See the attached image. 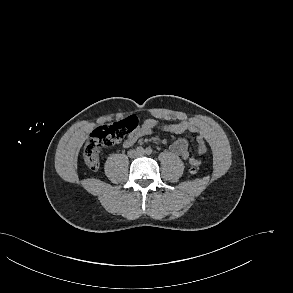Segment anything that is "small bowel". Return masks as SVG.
<instances>
[{
  "label": "small bowel",
  "instance_id": "small-bowel-1",
  "mask_svg": "<svg viewBox=\"0 0 293 293\" xmlns=\"http://www.w3.org/2000/svg\"><path fill=\"white\" fill-rule=\"evenodd\" d=\"M156 128L177 134L190 132L196 137L198 154L204 155L207 152V146L202 132L194 123L190 121H181L175 124L162 125L155 119H146L143 121L140 129L136 133L130 134L125 139L124 146L130 147L134 145L141 137L152 134ZM188 146L189 140L186 137H182L171 145V151L175 155L181 156L190 164L200 163L198 159L189 154Z\"/></svg>",
  "mask_w": 293,
  "mask_h": 293
}]
</instances>
